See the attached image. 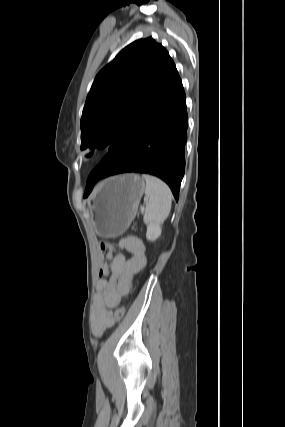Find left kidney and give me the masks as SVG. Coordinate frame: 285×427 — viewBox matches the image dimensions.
Here are the masks:
<instances>
[{"label": "left kidney", "instance_id": "obj_1", "mask_svg": "<svg viewBox=\"0 0 285 427\" xmlns=\"http://www.w3.org/2000/svg\"><path fill=\"white\" fill-rule=\"evenodd\" d=\"M161 224L151 223L147 226L146 238L149 241H155L161 235Z\"/></svg>", "mask_w": 285, "mask_h": 427}]
</instances>
